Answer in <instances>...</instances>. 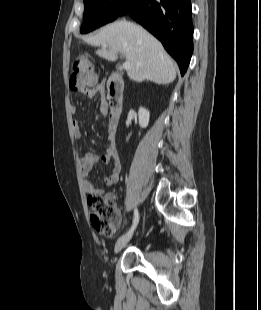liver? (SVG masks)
<instances>
[{"label":"liver","mask_w":261,"mask_h":310,"mask_svg":"<svg viewBox=\"0 0 261 310\" xmlns=\"http://www.w3.org/2000/svg\"><path fill=\"white\" fill-rule=\"evenodd\" d=\"M84 40L90 45H101L96 54L108 61H116L118 54L123 55L130 63L127 75L134 81L147 79L157 84H169L176 78V65L161 43L133 22H113ZM104 44L107 47H103Z\"/></svg>","instance_id":"liver-1"}]
</instances>
